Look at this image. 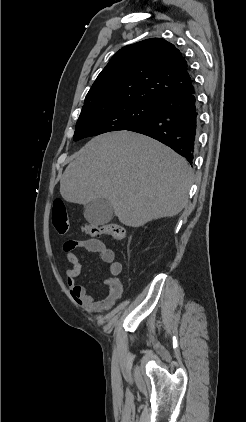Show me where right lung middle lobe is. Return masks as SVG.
I'll use <instances>...</instances> for the list:
<instances>
[{"instance_id":"1","label":"right lung middle lobe","mask_w":246,"mask_h":422,"mask_svg":"<svg viewBox=\"0 0 246 422\" xmlns=\"http://www.w3.org/2000/svg\"><path fill=\"white\" fill-rule=\"evenodd\" d=\"M157 106L133 99L101 102L82 108L73 139L75 141L102 133L127 130L156 114Z\"/></svg>"}]
</instances>
